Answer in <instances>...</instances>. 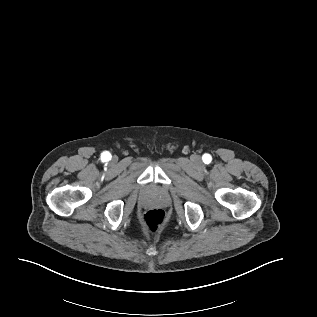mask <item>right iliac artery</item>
I'll return each instance as SVG.
<instances>
[{"mask_svg":"<svg viewBox=\"0 0 317 317\" xmlns=\"http://www.w3.org/2000/svg\"><path fill=\"white\" fill-rule=\"evenodd\" d=\"M102 159L103 160H109L110 159V154L108 152H103L102 153Z\"/></svg>","mask_w":317,"mask_h":317,"instance_id":"obj_1","label":"right iliac artery"}]
</instances>
